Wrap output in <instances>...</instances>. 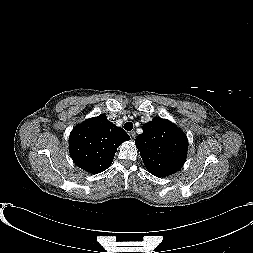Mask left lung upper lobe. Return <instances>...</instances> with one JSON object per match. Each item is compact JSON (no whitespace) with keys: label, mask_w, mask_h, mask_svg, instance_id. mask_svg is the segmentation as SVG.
I'll return each instance as SVG.
<instances>
[{"label":"left lung upper lobe","mask_w":253,"mask_h":253,"mask_svg":"<svg viewBox=\"0 0 253 253\" xmlns=\"http://www.w3.org/2000/svg\"><path fill=\"white\" fill-rule=\"evenodd\" d=\"M135 144L148 171L165 177L177 172L185 163L188 140L185 133L166 119L155 117L143 125Z\"/></svg>","instance_id":"1"}]
</instances>
